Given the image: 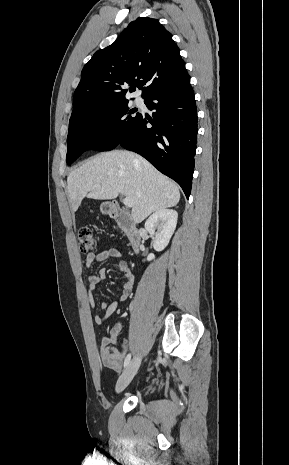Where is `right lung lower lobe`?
<instances>
[{
  "label": "right lung lower lobe",
  "instance_id": "98d812e1",
  "mask_svg": "<svg viewBox=\"0 0 289 465\" xmlns=\"http://www.w3.org/2000/svg\"><path fill=\"white\" fill-rule=\"evenodd\" d=\"M145 100L146 106L155 110L153 119L142 114L118 145L146 158L175 180L189 198L197 139V109L190 80L155 92Z\"/></svg>",
  "mask_w": 289,
  "mask_h": 465
}]
</instances>
